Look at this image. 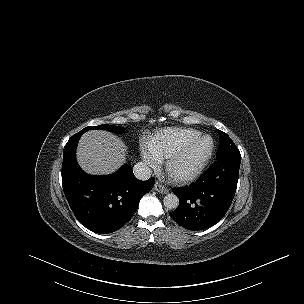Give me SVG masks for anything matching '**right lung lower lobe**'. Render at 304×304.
<instances>
[{
  "mask_svg": "<svg viewBox=\"0 0 304 304\" xmlns=\"http://www.w3.org/2000/svg\"><path fill=\"white\" fill-rule=\"evenodd\" d=\"M82 133L73 135L64 147L62 185L67 201L87 229L112 233L135 214L140 199L154 186V178L138 180L125 164L111 175L93 176L81 170L76 161V146Z\"/></svg>",
  "mask_w": 304,
  "mask_h": 304,
  "instance_id": "1",
  "label": "right lung lower lobe"
}]
</instances>
